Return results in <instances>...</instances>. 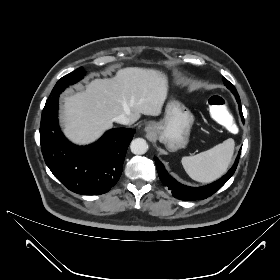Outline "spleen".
<instances>
[{"label": "spleen", "instance_id": "3e777b00", "mask_svg": "<svg viewBox=\"0 0 280 280\" xmlns=\"http://www.w3.org/2000/svg\"><path fill=\"white\" fill-rule=\"evenodd\" d=\"M234 146V140L229 138L209 150L194 156H184L181 162L193 180L202 183L211 182L227 171L233 157Z\"/></svg>", "mask_w": 280, "mask_h": 280}]
</instances>
